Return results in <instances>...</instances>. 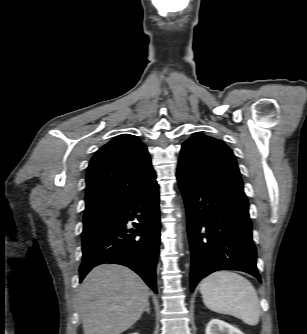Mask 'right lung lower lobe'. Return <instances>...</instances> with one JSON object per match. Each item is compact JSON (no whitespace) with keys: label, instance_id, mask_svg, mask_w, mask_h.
Instances as JSON below:
<instances>
[{"label":"right lung lower lobe","instance_id":"obj_1","mask_svg":"<svg viewBox=\"0 0 307 334\" xmlns=\"http://www.w3.org/2000/svg\"><path fill=\"white\" fill-rule=\"evenodd\" d=\"M134 217L139 221L134 223L136 229L127 230V221ZM159 240V192L155 183L111 212L107 220L82 236L80 282L93 267L102 263H116L138 273L157 293L155 269Z\"/></svg>","mask_w":307,"mask_h":334}]
</instances>
